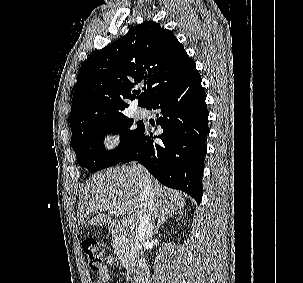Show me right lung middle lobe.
<instances>
[{
    "label": "right lung middle lobe",
    "mask_w": 303,
    "mask_h": 283,
    "mask_svg": "<svg viewBox=\"0 0 303 283\" xmlns=\"http://www.w3.org/2000/svg\"><path fill=\"white\" fill-rule=\"evenodd\" d=\"M132 124V119L121 116L78 129L71 138L78 164L86 167L91 173L118 164L133 147L145 127L140 124L137 128H132ZM109 132L122 133L120 145L114 151H107L103 144V139Z\"/></svg>",
    "instance_id": "right-lung-middle-lobe-1"
}]
</instances>
